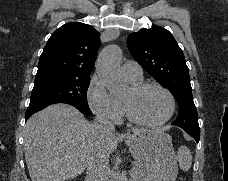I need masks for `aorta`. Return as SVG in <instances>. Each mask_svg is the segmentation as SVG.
<instances>
[{"label": "aorta", "instance_id": "obj_1", "mask_svg": "<svg viewBox=\"0 0 228 181\" xmlns=\"http://www.w3.org/2000/svg\"><path fill=\"white\" fill-rule=\"evenodd\" d=\"M121 58V49L116 45H109L101 51L97 61L98 76L112 95H120L127 87L120 72Z\"/></svg>", "mask_w": 228, "mask_h": 181}]
</instances>
